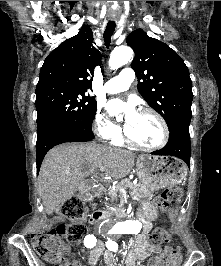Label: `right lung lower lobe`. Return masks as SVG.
I'll use <instances>...</instances> for the list:
<instances>
[{"instance_id":"98d812e1","label":"right lung lower lobe","mask_w":221,"mask_h":266,"mask_svg":"<svg viewBox=\"0 0 221 266\" xmlns=\"http://www.w3.org/2000/svg\"><path fill=\"white\" fill-rule=\"evenodd\" d=\"M93 138L92 130L72 125L57 127L47 132L44 136L37 139L36 143L37 174L39 173L44 156L52 147L65 142H87Z\"/></svg>"}]
</instances>
